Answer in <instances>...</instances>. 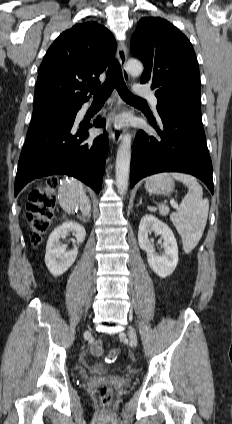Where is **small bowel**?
<instances>
[{
    "mask_svg": "<svg viewBox=\"0 0 232 424\" xmlns=\"http://www.w3.org/2000/svg\"><path fill=\"white\" fill-rule=\"evenodd\" d=\"M101 351H102V345H101V342H100V341H96V342L92 345V347H91V352H92L94 355H99V354L101 353Z\"/></svg>",
    "mask_w": 232,
    "mask_h": 424,
    "instance_id": "obj_1",
    "label": "small bowel"
}]
</instances>
